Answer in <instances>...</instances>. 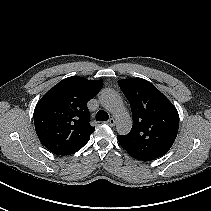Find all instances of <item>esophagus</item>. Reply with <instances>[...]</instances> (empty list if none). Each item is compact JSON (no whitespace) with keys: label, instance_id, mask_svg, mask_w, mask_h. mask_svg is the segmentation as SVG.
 Returning a JSON list of instances; mask_svg holds the SVG:
<instances>
[{"label":"esophagus","instance_id":"1","mask_svg":"<svg viewBox=\"0 0 211 211\" xmlns=\"http://www.w3.org/2000/svg\"><path fill=\"white\" fill-rule=\"evenodd\" d=\"M116 123L115 119L111 118L107 121V124L110 125V126H114Z\"/></svg>","mask_w":211,"mask_h":211}]
</instances>
